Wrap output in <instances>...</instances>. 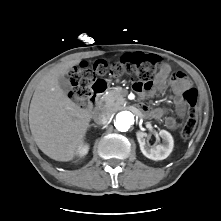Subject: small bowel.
<instances>
[{
	"label": "small bowel",
	"instance_id": "obj_1",
	"mask_svg": "<svg viewBox=\"0 0 221 221\" xmlns=\"http://www.w3.org/2000/svg\"><path fill=\"white\" fill-rule=\"evenodd\" d=\"M138 54L139 53H126L122 56V61L126 62L127 60H129L132 57L137 56ZM168 78H170V84L173 90L175 91V93L177 94V97L174 100L176 113L180 118H184L186 115L187 109H186V105L183 99L179 95L183 90H185L186 88L190 86V81L188 80L186 75L180 70L172 73L171 66L168 63L165 62L161 65L158 78L156 80L153 90L147 93L141 92V95L145 96L148 94H152L153 92L162 91L165 88ZM143 111L147 116L155 120L160 119L166 113V110L161 107L155 108V109H149L147 107H143ZM165 126L168 129L175 130L178 126V122L174 117L166 116Z\"/></svg>",
	"mask_w": 221,
	"mask_h": 221
}]
</instances>
